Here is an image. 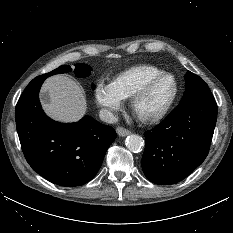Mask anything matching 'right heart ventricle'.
I'll return each instance as SVG.
<instances>
[{
	"label": "right heart ventricle",
	"mask_w": 233,
	"mask_h": 233,
	"mask_svg": "<svg viewBox=\"0 0 233 233\" xmlns=\"http://www.w3.org/2000/svg\"><path fill=\"white\" fill-rule=\"evenodd\" d=\"M162 73L153 65H137L119 73L112 84L123 99H129L148 79Z\"/></svg>",
	"instance_id": "right-heart-ventricle-1"
}]
</instances>
